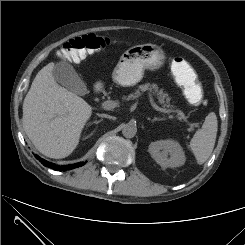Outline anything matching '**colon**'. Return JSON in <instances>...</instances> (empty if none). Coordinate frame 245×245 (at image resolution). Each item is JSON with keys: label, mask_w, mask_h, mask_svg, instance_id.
<instances>
[{"label": "colon", "mask_w": 245, "mask_h": 245, "mask_svg": "<svg viewBox=\"0 0 245 245\" xmlns=\"http://www.w3.org/2000/svg\"><path fill=\"white\" fill-rule=\"evenodd\" d=\"M107 45V40L103 37L87 34L68 41L62 48L61 54L65 59L78 62L87 55L92 54ZM179 62L185 60L177 59ZM179 84L182 85L186 99L193 105H200L204 102V92L202 83L196 79H185L175 76Z\"/></svg>", "instance_id": "obj_1"}]
</instances>
